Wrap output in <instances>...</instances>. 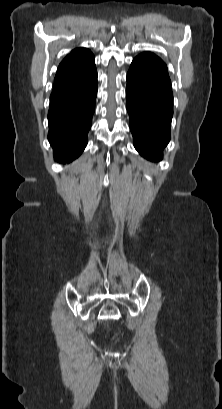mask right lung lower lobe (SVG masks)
<instances>
[{"label": "right lung lower lobe", "instance_id": "1", "mask_svg": "<svg viewBox=\"0 0 222 409\" xmlns=\"http://www.w3.org/2000/svg\"><path fill=\"white\" fill-rule=\"evenodd\" d=\"M66 78L79 80V88L60 95L51 94L48 112V140L55 160L60 163L73 161L85 149L97 95L96 68L87 74H72Z\"/></svg>", "mask_w": 222, "mask_h": 409}]
</instances>
